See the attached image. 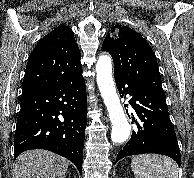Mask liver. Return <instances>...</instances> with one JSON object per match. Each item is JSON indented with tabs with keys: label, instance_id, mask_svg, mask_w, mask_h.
<instances>
[{
	"label": "liver",
	"instance_id": "1",
	"mask_svg": "<svg viewBox=\"0 0 194 178\" xmlns=\"http://www.w3.org/2000/svg\"><path fill=\"white\" fill-rule=\"evenodd\" d=\"M68 161L46 150H30L20 154L13 168L15 178H63Z\"/></svg>",
	"mask_w": 194,
	"mask_h": 178
}]
</instances>
